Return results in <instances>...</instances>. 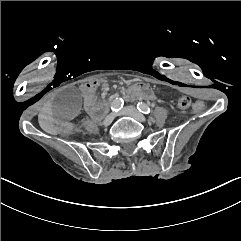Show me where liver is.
Instances as JSON below:
<instances>
[{"label": "liver", "mask_w": 241, "mask_h": 241, "mask_svg": "<svg viewBox=\"0 0 241 241\" xmlns=\"http://www.w3.org/2000/svg\"><path fill=\"white\" fill-rule=\"evenodd\" d=\"M39 125L46 132L51 135H57V131L53 125L52 113L47 111L39 115Z\"/></svg>", "instance_id": "obj_1"}]
</instances>
